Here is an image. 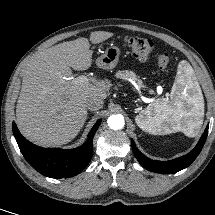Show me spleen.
I'll return each instance as SVG.
<instances>
[{
    "instance_id": "spleen-1",
    "label": "spleen",
    "mask_w": 215,
    "mask_h": 215,
    "mask_svg": "<svg viewBox=\"0 0 215 215\" xmlns=\"http://www.w3.org/2000/svg\"><path fill=\"white\" fill-rule=\"evenodd\" d=\"M204 117V100L194 70L187 61L178 65L170 98H159L137 115L136 123L153 135L183 132L195 137Z\"/></svg>"
}]
</instances>
